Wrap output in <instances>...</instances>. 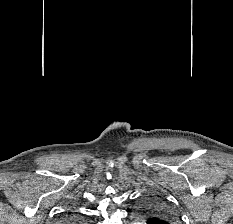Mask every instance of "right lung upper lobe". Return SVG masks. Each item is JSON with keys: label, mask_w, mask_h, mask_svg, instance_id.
<instances>
[{"label": "right lung upper lobe", "mask_w": 233, "mask_h": 224, "mask_svg": "<svg viewBox=\"0 0 233 224\" xmlns=\"http://www.w3.org/2000/svg\"><path fill=\"white\" fill-rule=\"evenodd\" d=\"M82 220L76 216H68L64 219L66 224H80Z\"/></svg>", "instance_id": "obj_1"}]
</instances>
